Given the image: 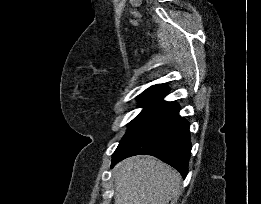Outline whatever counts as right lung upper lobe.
I'll use <instances>...</instances> for the list:
<instances>
[{"mask_svg":"<svg viewBox=\"0 0 261 204\" xmlns=\"http://www.w3.org/2000/svg\"><path fill=\"white\" fill-rule=\"evenodd\" d=\"M168 91V87L164 84L154 85L146 89L143 94H158L165 95Z\"/></svg>","mask_w":261,"mask_h":204,"instance_id":"right-lung-upper-lobe-1","label":"right lung upper lobe"}]
</instances>
